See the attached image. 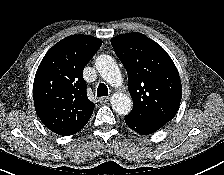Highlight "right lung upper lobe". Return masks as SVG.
I'll return each instance as SVG.
<instances>
[{"mask_svg": "<svg viewBox=\"0 0 224 175\" xmlns=\"http://www.w3.org/2000/svg\"><path fill=\"white\" fill-rule=\"evenodd\" d=\"M102 45L89 35H71L42 59L33 84L36 113L51 131L67 135L86 125L94 103L87 97L82 71Z\"/></svg>", "mask_w": 224, "mask_h": 175, "instance_id": "obj_1", "label": "right lung upper lobe"}]
</instances>
